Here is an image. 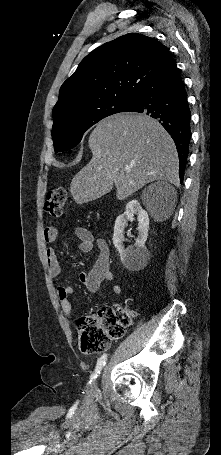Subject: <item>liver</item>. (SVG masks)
I'll use <instances>...</instances> for the list:
<instances>
[{
  "label": "liver",
  "instance_id": "1",
  "mask_svg": "<svg viewBox=\"0 0 221 455\" xmlns=\"http://www.w3.org/2000/svg\"><path fill=\"white\" fill-rule=\"evenodd\" d=\"M92 159L72 179L77 204L96 200L115 185L123 200L146 184L164 180L179 184L174 141L155 119L118 113L101 120L89 137Z\"/></svg>",
  "mask_w": 221,
  "mask_h": 455
}]
</instances>
